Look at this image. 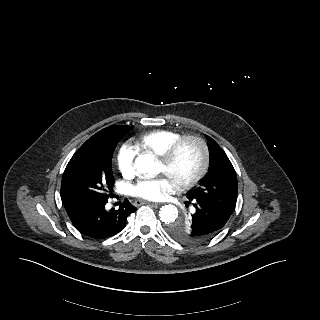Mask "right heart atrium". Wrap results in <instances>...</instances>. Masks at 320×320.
Masks as SVG:
<instances>
[{
	"instance_id": "d8ad5b80",
	"label": "right heart atrium",
	"mask_w": 320,
	"mask_h": 320,
	"mask_svg": "<svg viewBox=\"0 0 320 320\" xmlns=\"http://www.w3.org/2000/svg\"><path fill=\"white\" fill-rule=\"evenodd\" d=\"M135 156L136 148L134 145L126 142L121 146L117 155V165L122 175L129 176L133 174Z\"/></svg>"
}]
</instances>
